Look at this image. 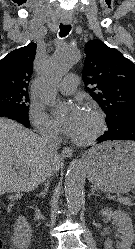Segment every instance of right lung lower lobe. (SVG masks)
<instances>
[{
  "label": "right lung lower lobe",
  "mask_w": 135,
  "mask_h": 249,
  "mask_svg": "<svg viewBox=\"0 0 135 249\" xmlns=\"http://www.w3.org/2000/svg\"><path fill=\"white\" fill-rule=\"evenodd\" d=\"M0 116L16 120L19 123L25 125L26 127L30 126L28 115L22 114L19 111H16L15 109L10 107L0 106Z\"/></svg>",
  "instance_id": "right-lung-lower-lobe-1"
}]
</instances>
